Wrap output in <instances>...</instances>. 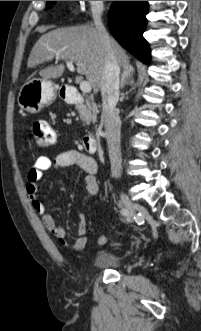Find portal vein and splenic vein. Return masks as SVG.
Segmentation results:
<instances>
[{"instance_id":"1","label":"portal vein and splenic vein","mask_w":201,"mask_h":331,"mask_svg":"<svg viewBox=\"0 0 201 331\" xmlns=\"http://www.w3.org/2000/svg\"><path fill=\"white\" fill-rule=\"evenodd\" d=\"M56 59H59V56L58 55L56 56ZM66 64H67V67H68V69L70 71H72V72L75 71V68H74V65H73V62L72 61L67 60L66 61ZM80 89H81V91L83 93H89V92H91L92 87H91V85H90L89 82H87V81H81L80 82Z\"/></svg>"}]
</instances>
